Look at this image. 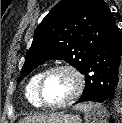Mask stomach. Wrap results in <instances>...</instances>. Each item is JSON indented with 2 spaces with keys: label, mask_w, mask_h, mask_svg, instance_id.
<instances>
[{
  "label": "stomach",
  "mask_w": 122,
  "mask_h": 123,
  "mask_svg": "<svg viewBox=\"0 0 122 123\" xmlns=\"http://www.w3.org/2000/svg\"><path fill=\"white\" fill-rule=\"evenodd\" d=\"M44 123H81L78 115L65 114L63 112L53 113Z\"/></svg>",
  "instance_id": "0dacf381"
}]
</instances>
